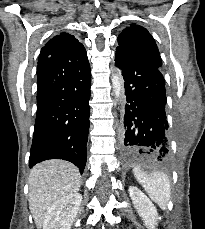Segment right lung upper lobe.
Returning <instances> with one entry per match:
<instances>
[{
    "instance_id": "cb5924a9",
    "label": "right lung upper lobe",
    "mask_w": 205,
    "mask_h": 229,
    "mask_svg": "<svg viewBox=\"0 0 205 229\" xmlns=\"http://www.w3.org/2000/svg\"><path fill=\"white\" fill-rule=\"evenodd\" d=\"M51 57L61 59L71 69H79L89 63L84 46L68 33H59L41 49L38 64Z\"/></svg>"
}]
</instances>
